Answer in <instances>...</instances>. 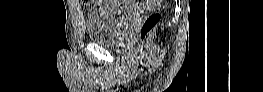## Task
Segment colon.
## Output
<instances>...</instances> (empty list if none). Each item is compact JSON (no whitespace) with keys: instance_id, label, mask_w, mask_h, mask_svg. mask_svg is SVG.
Here are the masks:
<instances>
[{"instance_id":"colon-1","label":"colon","mask_w":263,"mask_h":92,"mask_svg":"<svg viewBox=\"0 0 263 92\" xmlns=\"http://www.w3.org/2000/svg\"><path fill=\"white\" fill-rule=\"evenodd\" d=\"M161 19V15L159 12H152L150 13L146 19L144 20L141 28H140V51H145L146 49V42L149 33L152 29L159 23Z\"/></svg>"}]
</instances>
